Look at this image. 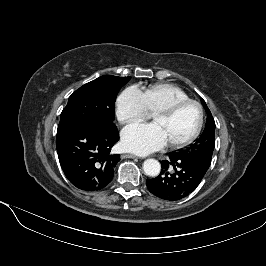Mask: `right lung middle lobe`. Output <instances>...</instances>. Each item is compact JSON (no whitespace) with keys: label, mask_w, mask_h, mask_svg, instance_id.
<instances>
[{"label":"right lung middle lobe","mask_w":266,"mask_h":266,"mask_svg":"<svg viewBox=\"0 0 266 266\" xmlns=\"http://www.w3.org/2000/svg\"><path fill=\"white\" fill-rule=\"evenodd\" d=\"M130 77L101 76L77 89L68 100L60 123H83L101 128L114 127L116 96Z\"/></svg>","instance_id":"1"}]
</instances>
